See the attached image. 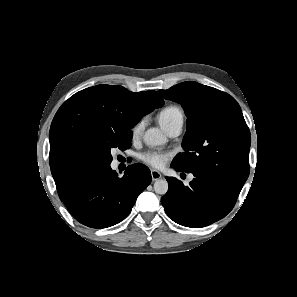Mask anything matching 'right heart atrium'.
Returning <instances> with one entry per match:
<instances>
[{
    "mask_svg": "<svg viewBox=\"0 0 297 297\" xmlns=\"http://www.w3.org/2000/svg\"><path fill=\"white\" fill-rule=\"evenodd\" d=\"M145 127V120L141 119L131 129V135L133 140H137L141 137Z\"/></svg>",
    "mask_w": 297,
    "mask_h": 297,
    "instance_id": "right-heart-atrium-1",
    "label": "right heart atrium"
}]
</instances>
